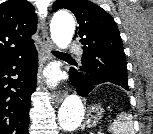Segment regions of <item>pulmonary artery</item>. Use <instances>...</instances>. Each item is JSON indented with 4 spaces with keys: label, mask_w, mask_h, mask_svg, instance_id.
Here are the masks:
<instances>
[{
    "label": "pulmonary artery",
    "mask_w": 153,
    "mask_h": 134,
    "mask_svg": "<svg viewBox=\"0 0 153 134\" xmlns=\"http://www.w3.org/2000/svg\"><path fill=\"white\" fill-rule=\"evenodd\" d=\"M69 51L72 52V53H82L81 47L78 46L77 44L70 45Z\"/></svg>",
    "instance_id": "pulmonary-artery-1"
}]
</instances>
